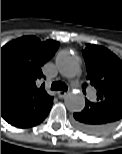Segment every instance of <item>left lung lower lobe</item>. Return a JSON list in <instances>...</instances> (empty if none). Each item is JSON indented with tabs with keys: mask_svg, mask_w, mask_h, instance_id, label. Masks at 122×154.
Wrapping results in <instances>:
<instances>
[{
	"mask_svg": "<svg viewBox=\"0 0 122 154\" xmlns=\"http://www.w3.org/2000/svg\"><path fill=\"white\" fill-rule=\"evenodd\" d=\"M85 101V108L74 113L73 124L86 134H102L122 118V100Z\"/></svg>",
	"mask_w": 122,
	"mask_h": 154,
	"instance_id": "1",
	"label": "left lung lower lobe"
}]
</instances>
